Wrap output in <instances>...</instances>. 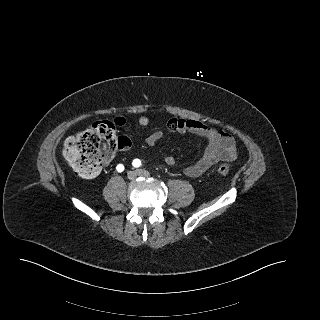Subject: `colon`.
<instances>
[{"instance_id": "1", "label": "colon", "mask_w": 320, "mask_h": 320, "mask_svg": "<svg viewBox=\"0 0 320 320\" xmlns=\"http://www.w3.org/2000/svg\"><path fill=\"white\" fill-rule=\"evenodd\" d=\"M130 144L128 137L117 136L113 122L98 121L69 137L64 143L63 155L79 175L90 178L98 174L117 148L126 149ZM229 171L226 164L217 169L222 176L228 175Z\"/></svg>"}]
</instances>
